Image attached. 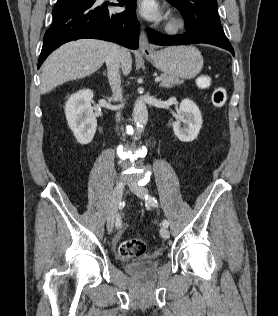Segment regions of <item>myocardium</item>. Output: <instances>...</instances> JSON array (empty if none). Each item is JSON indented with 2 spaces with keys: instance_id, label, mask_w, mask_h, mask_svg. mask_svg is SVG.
<instances>
[{
  "instance_id": "1",
  "label": "myocardium",
  "mask_w": 278,
  "mask_h": 316,
  "mask_svg": "<svg viewBox=\"0 0 278 316\" xmlns=\"http://www.w3.org/2000/svg\"><path fill=\"white\" fill-rule=\"evenodd\" d=\"M183 27L181 20L177 18H172L166 25V30L168 32H177Z\"/></svg>"
}]
</instances>
